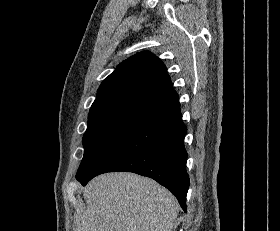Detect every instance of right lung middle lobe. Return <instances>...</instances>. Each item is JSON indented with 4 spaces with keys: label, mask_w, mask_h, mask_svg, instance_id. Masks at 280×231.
<instances>
[{
    "label": "right lung middle lobe",
    "mask_w": 280,
    "mask_h": 231,
    "mask_svg": "<svg viewBox=\"0 0 280 231\" xmlns=\"http://www.w3.org/2000/svg\"><path fill=\"white\" fill-rule=\"evenodd\" d=\"M135 124L133 121L126 119H88V127L82 141L84 156L77 175L108 143Z\"/></svg>",
    "instance_id": "right-lung-middle-lobe-1"
}]
</instances>
